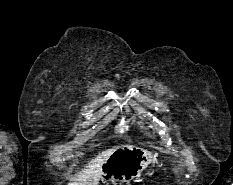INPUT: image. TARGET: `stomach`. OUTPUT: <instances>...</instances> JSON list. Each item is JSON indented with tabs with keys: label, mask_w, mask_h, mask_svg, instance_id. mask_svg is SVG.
Returning <instances> with one entry per match:
<instances>
[{
	"label": "stomach",
	"mask_w": 233,
	"mask_h": 185,
	"mask_svg": "<svg viewBox=\"0 0 233 185\" xmlns=\"http://www.w3.org/2000/svg\"><path fill=\"white\" fill-rule=\"evenodd\" d=\"M153 158L151 152L137 146L118 147L102 165L100 179L103 183L121 185L139 177Z\"/></svg>",
	"instance_id": "obj_1"
}]
</instances>
